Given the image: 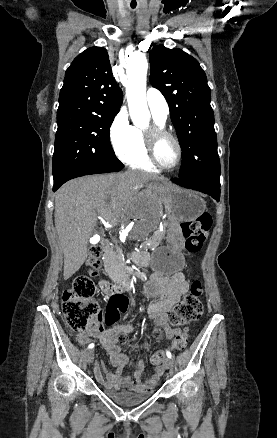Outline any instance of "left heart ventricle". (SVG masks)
<instances>
[{"mask_svg": "<svg viewBox=\"0 0 277 438\" xmlns=\"http://www.w3.org/2000/svg\"><path fill=\"white\" fill-rule=\"evenodd\" d=\"M158 157L165 166H172L177 157L175 143L169 138H163L158 146Z\"/></svg>", "mask_w": 277, "mask_h": 438, "instance_id": "left-heart-ventricle-1", "label": "left heart ventricle"}]
</instances>
